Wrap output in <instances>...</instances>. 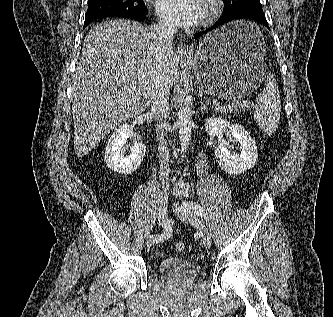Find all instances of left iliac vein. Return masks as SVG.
<instances>
[{
  "instance_id": "4c4485c4",
  "label": "left iliac vein",
  "mask_w": 333,
  "mask_h": 317,
  "mask_svg": "<svg viewBox=\"0 0 333 317\" xmlns=\"http://www.w3.org/2000/svg\"><path fill=\"white\" fill-rule=\"evenodd\" d=\"M174 211L176 215L183 221L192 226H194L201 235L203 243L206 248H210L211 246V237L210 234L203 224V222L198 218L196 213H194L191 209L190 202L184 201L182 205L178 203H174Z\"/></svg>"
}]
</instances>
